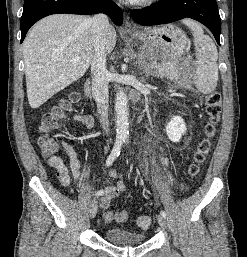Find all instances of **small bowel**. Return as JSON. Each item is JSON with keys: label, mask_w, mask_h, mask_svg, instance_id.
I'll list each match as a JSON object with an SVG mask.
<instances>
[{"label": "small bowel", "mask_w": 247, "mask_h": 257, "mask_svg": "<svg viewBox=\"0 0 247 257\" xmlns=\"http://www.w3.org/2000/svg\"><path fill=\"white\" fill-rule=\"evenodd\" d=\"M75 121L84 123L89 127H91L93 124L92 119L86 115L77 116L75 118ZM61 147L69 158V167L66 166L63 160L57 155L47 158V162L49 166L56 170L57 177L61 185L64 187H69L71 183V176L76 181H80L81 165L78 154L75 148L70 143L66 141H61ZM162 162L164 164H167L168 161L166 158H163ZM111 175L116 176L117 174L115 171H111ZM101 190L103 191V193L100 199V205L101 207L105 208L109 205L111 200H113L126 190V185L123 180H118V182L114 186H106Z\"/></svg>", "instance_id": "small-bowel-1"}]
</instances>
